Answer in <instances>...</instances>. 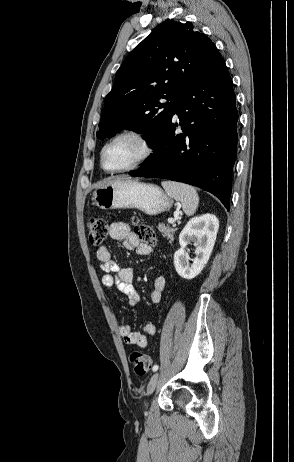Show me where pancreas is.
<instances>
[{"mask_svg": "<svg viewBox=\"0 0 294 462\" xmlns=\"http://www.w3.org/2000/svg\"><path fill=\"white\" fill-rule=\"evenodd\" d=\"M157 228L164 237H167L170 241L174 240V233L177 231V228H171L170 226H165L164 224H159Z\"/></svg>", "mask_w": 294, "mask_h": 462, "instance_id": "obj_1", "label": "pancreas"}]
</instances>
